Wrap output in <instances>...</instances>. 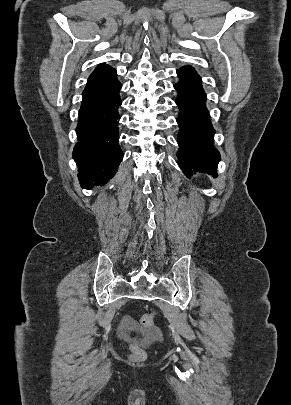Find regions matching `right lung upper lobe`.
<instances>
[{
	"label": "right lung upper lobe",
	"mask_w": 291,
	"mask_h": 405,
	"mask_svg": "<svg viewBox=\"0 0 291 405\" xmlns=\"http://www.w3.org/2000/svg\"><path fill=\"white\" fill-rule=\"evenodd\" d=\"M115 72V69L111 68L109 65L101 64L96 67L93 73L89 76L88 82L103 78Z\"/></svg>",
	"instance_id": "obj_1"
}]
</instances>
